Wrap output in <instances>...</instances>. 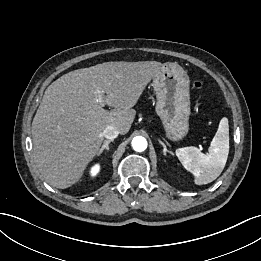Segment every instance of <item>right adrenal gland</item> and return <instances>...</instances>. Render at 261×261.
I'll return each mask as SVG.
<instances>
[{"mask_svg": "<svg viewBox=\"0 0 261 261\" xmlns=\"http://www.w3.org/2000/svg\"><path fill=\"white\" fill-rule=\"evenodd\" d=\"M110 142H113V140L104 141V144L102 145L100 151L98 152V156H101V154L104 152V150H106L107 152L109 151Z\"/></svg>", "mask_w": 261, "mask_h": 261, "instance_id": "right-adrenal-gland-1", "label": "right adrenal gland"}]
</instances>
